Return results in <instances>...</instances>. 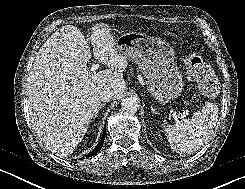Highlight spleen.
Listing matches in <instances>:
<instances>
[{"label":"spleen","instance_id":"spleen-1","mask_svg":"<svg viewBox=\"0 0 245 189\" xmlns=\"http://www.w3.org/2000/svg\"><path fill=\"white\" fill-rule=\"evenodd\" d=\"M218 112L215 103H207L190 119L164 126L171 148L176 153H192L200 149L213 133Z\"/></svg>","mask_w":245,"mask_h":189}]
</instances>
